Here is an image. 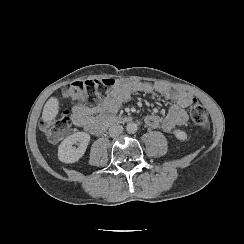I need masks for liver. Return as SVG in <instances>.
I'll return each instance as SVG.
<instances>
[{"instance_id": "1", "label": "liver", "mask_w": 244, "mask_h": 244, "mask_svg": "<svg viewBox=\"0 0 244 244\" xmlns=\"http://www.w3.org/2000/svg\"><path fill=\"white\" fill-rule=\"evenodd\" d=\"M60 112V99L53 95L45 102L42 112V120L49 123L55 120Z\"/></svg>"}]
</instances>
